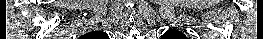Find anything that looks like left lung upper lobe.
I'll list each match as a JSON object with an SVG mask.
<instances>
[{
	"label": "left lung upper lobe",
	"instance_id": "1",
	"mask_svg": "<svg viewBox=\"0 0 263 39\" xmlns=\"http://www.w3.org/2000/svg\"><path fill=\"white\" fill-rule=\"evenodd\" d=\"M162 39H188L182 32L176 29H169Z\"/></svg>",
	"mask_w": 263,
	"mask_h": 39
}]
</instances>
